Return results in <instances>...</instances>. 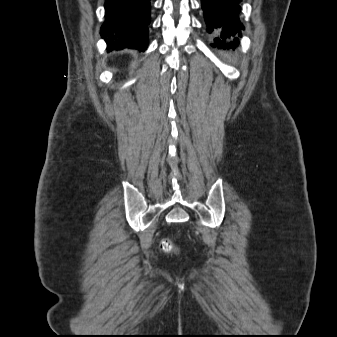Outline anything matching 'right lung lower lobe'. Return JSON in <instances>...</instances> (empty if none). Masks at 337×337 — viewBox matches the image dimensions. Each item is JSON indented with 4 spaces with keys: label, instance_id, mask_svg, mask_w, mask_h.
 Instances as JSON below:
<instances>
[{
    "label": "right lung lower lobe",
    "instance_id": "obj_1",
    "mask_svg": "<svg viewBox=\"0 0 337 337\" xmlns=\"http://www.w3.org/2000/svg\"><path fill=\"white\" fill-rule=\"evenodd\" d=\"M101 27L108 51L124 48L145 51L148 46L151 0H106Z\"/></svg>",
    "mask_w": 337,
    "mask_h": 337
}]
</instances>
